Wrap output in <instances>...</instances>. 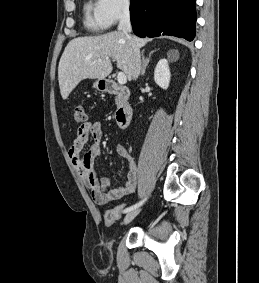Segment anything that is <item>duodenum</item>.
Masks as SVG:
<instances>
[{
  "mask_svg": "<svg viewBox=\"0 0 259 283\" xmlns=\"http://www.w3.org/2000/svg\"><path fill=\"white\" fill-rule=\"evenodd\" d=\"M104 91L121 96L122 104L117 109L116 120L121 128H127L133 115L132 107L127 103V98L130 94L129 90L114 81L108 80L105 82Z\"/></svg>",
  "mask_w": 259,
  "mask_h": 283,
  "instance_id": "duodenum-1",
  "label": "duodenum"
}]
</instances>
